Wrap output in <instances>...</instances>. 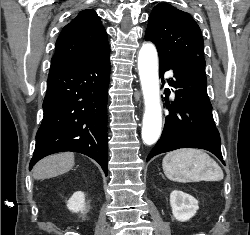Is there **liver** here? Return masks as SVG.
I'll return each mask as SVG.
<instances>
[{"instance_id":"liver-1","label":"liver","mask_w":250,"mask_h":235,"mask_svg":"<svg viewBox=\"0 0 250 235\" xmlns=\"http://www.w3.org/2000/svg\"><path fill=\"white\" fill-rule=\"evenodd\" d=\"M73 153H60L42 159L33 169L35 179L56 177L68 172L74 166Z\"/></svg>"}]
</instances>
